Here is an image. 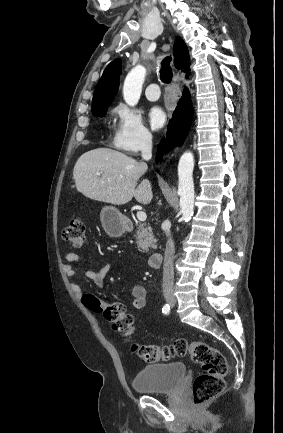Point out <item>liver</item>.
Instances as JSON below:
<instances>
[{"mask_svg": "<svg viewBox=\"0 0 283 433\" xmlns=\"http://www.w3.org/2000/svg\"><path fill=\"white\" fill-rule=\"evenodd\" d=\"M147 168L146 162H137L119 150L94 148L79 156L73 178L77 190L93 200L125 204L134 196L141 204H149L153 198L150 180L144 178L138 184Z\"/></svg>", "mask_w": 283, "mask_h": 433, "instance_id": "obj_1", "label": "liver"}]
</instances>
